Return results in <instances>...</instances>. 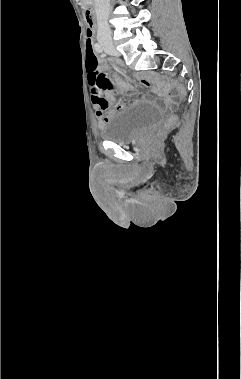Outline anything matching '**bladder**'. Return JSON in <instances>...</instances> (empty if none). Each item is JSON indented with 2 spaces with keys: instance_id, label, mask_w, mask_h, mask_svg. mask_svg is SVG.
Here are the masks:
<instances>
[{
  "instance_id": "31cf9c89",
  "label": "bladder",
  "mask_w": 241,
  "mask_h": 379,
  "mask_svg": "<svg viewBox=\"0 0 241 379\" xmlns=\"http://www.w3.org/2000/svg\"><path fill=\"white\" fill-rule=\"evenodd\" d=\"M163 119L162 111L152 104L137 103L112 113L100 127V137L117 144H128Z\"/></svg>"
}]
</instances>
